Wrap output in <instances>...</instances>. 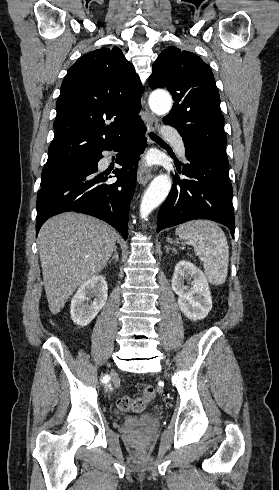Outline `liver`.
Returning <instances> with one entry per match:
<instances>
[{
    "instance_id": "obj_1",
    "label": "liver",
    "mask_w": 279,
    "mask_h": 490,
    "mask_svg": "<svg viewBox=\"0 0 279 490\" xmlns=\"http://www.w3.org/2000/svg\"><path fill=\"white\" fill-rule=\"evenodd\" d=\"M116 236L105 222L74 212L43 224L37 240L51 314H59L76 288L102 272L112 258Z\"/></svg>"
}]
</instances>
